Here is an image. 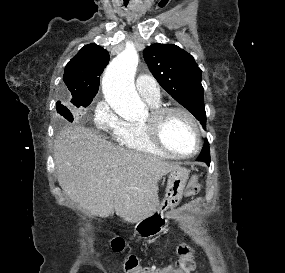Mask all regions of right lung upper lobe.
<instances>
[{
  "label": "right lung upper lobe",
  "mask_w": 285,
  "mask_h": 273,
  "mask_svg": "<svg viewBox=\"0 0 285 273\" xmlns=\"http://www.w3.org/2000/svg\"><path fill=\"white\" fill-rule=\"evenodd\" d=\"M109 61V53L95 44L85 45L66 65L63 81L72 95L71 102L92 100L97 94L100 75Z\"/></svg>",
  "instance_id": "1"
}]
</instances>
